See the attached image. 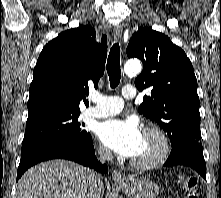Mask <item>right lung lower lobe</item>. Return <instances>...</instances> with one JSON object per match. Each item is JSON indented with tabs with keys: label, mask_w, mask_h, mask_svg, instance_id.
<instances>
[{
	"label": "right lung lower lobe",
	"mask_w": 221,
	"mask_h": 198,
	"mask_svg": "<svg viewBox=\"0 0 221 198\" xmlns=\"http://www.w3.org/2000/svg\"><path fill=\"white\" fill-rule=\"evenodd\" d=\"M94 152L91 136L83 141L66 138L42 141L21 151L17 180L31 166L50 159H67L92 167L98 172L107 173L106 164L101 165Z\"/></svg>",
	"instance_id": "right-lung-lower-lobe-1"
}]
</instances>
